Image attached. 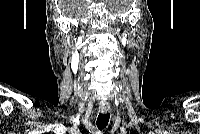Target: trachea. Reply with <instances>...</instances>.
<instances>
[{"label":"trachea","instance_id":"trachea-1","mask_svg":"<svg viewBox=\"0 0 200 134\" xmlns=\"http://www.w3.org/2000/svg\"><path fill=\"white\" fill-rule=\"evenodd\" d=\"M109 117H110L109 113L106 114L99 113L96 122L98 129L103 130L104 128H106L109 122Z\"/></svg>","mask_w":200,"mask_h":134}]
</instances>
